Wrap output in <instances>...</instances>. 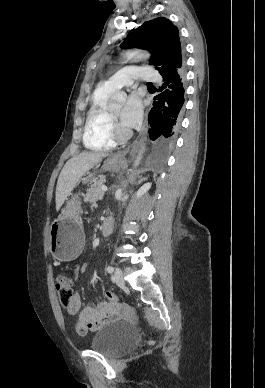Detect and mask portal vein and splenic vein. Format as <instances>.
Instances as JSON below:
<instances>
[{"label": "portal vein and splenic vein", "mask_w": 265, "mask_h": 388, "mask_svg": "<svg viewBox=\"0 0 265 388\" xmlns=\"http://www.w3.org/2000/svg\"><path fill=\"white\" fill-rule=\"evenodd\" d=\"M101 190H103V192H107L108 188L107 186H101Z\"/></svg>", "instance_id": "portal-vein-and-splenic-vein-1"}]
</instances>
